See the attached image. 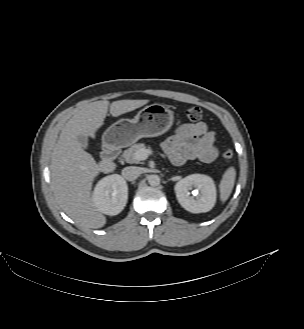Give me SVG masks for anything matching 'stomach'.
<instances>
[{"mask_svg":"<svg viewBox=\"0 0 304 329\" xmlns=\"http://www.w3.org/2000/svg\"><path fill=\"white\" fill-rule=\"evenodd\" d=\"M174 122L173 112L162 104H151L141 109L133 119H120L103 134L107 148L129 146L143 137H156L170 129Z\"/></svg>","mask_w":304,"mask_h":329,"instance_id":"1","label":"stomach"}]
</instances>
